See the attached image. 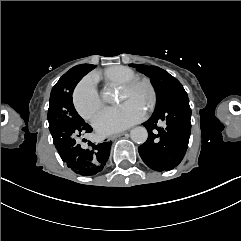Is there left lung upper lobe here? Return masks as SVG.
<instances>
[{
	"instance_id": "1",
	"label": "left lung upper lobe",
	"mask_w": 241,
	"mask_h": 241,
	"mask_svg": "<svg viewBox=\"0 0 241 241\" xmlns=\"http://www.w3.org/2000/svg\"><path fill=\"white\" fill-rule=\"evenodd\" d=\"M148 77L155 88L157 94V104L155 111L159 110L164 104L173 97L187 94L182 84L165 70L156 66H146L141 64H130Z\"/></svg>"
}]
</instances>
